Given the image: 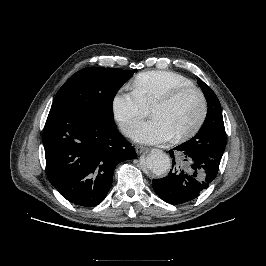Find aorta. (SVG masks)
<instances>
[{"mask_svg": "<svg viewBox=\"0 0 266 266\" xmlns=\"http://www.w3.org/2000/svg\"><path fill=\"white\" fill-rule=\"evenodd\" d=\"M145 164L147 168L155 175H163L170 168V158L160 149H153L146 157Z\"/></svg>", "mask_w": 266, "mask_h": 266, "instance_id": "obj_1", "label": "aorta"}]
</instances>
